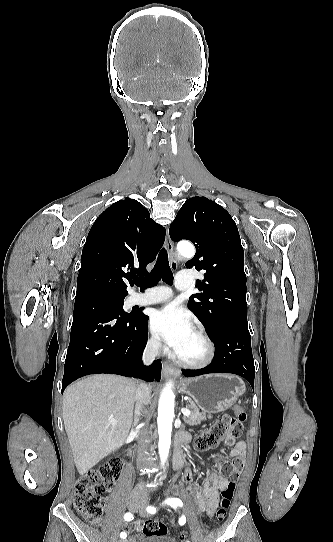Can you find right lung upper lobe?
<instances>
[{
	"instance_id": "right-lung-upper-lobe-1",
	"label": "right lung upper lobe",
	"mask_w": 333,
	"mask_h": 542,
	"mask_svg": "<svg viewBox=\"0 0 333 542\" xmlns=\"http://www.w3.org/2000/svg\"><path fill=\"white\" fill-rule=\"evenodd\" d=\"M165 240V229L135 199L112 204L94 222L81 256L76 297L96 292L127 295V280L147 275ZM93 249H105L110 259L100 265L87 261Z\"/></svg>"
}]
</instances>
